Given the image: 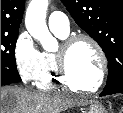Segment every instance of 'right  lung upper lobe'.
<instances>
[{"instance_id": "cb5924a9", "label": "right lung upper lobe", "mask_w": 123, "mask_h": 113, "mask_svg": "<svg viewBox=\"0 0 123 113\" xmlns=\"http://www.w3.org/2000/svg\"><path fill=\"white\" fill-rule=\"evenodd\" d=\"M24 9V0H1V33L19 32Z\"/></svg>"}]
</instances>
